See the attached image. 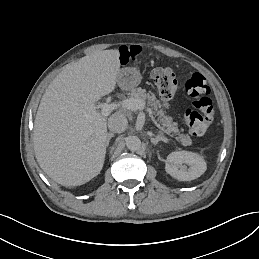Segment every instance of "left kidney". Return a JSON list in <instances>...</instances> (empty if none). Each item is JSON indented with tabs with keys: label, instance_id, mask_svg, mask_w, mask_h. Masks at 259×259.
<instances>
[{
	"label": "left kidney",
	"instance_id": "obj_1",
	"mask_svg": "<svg viewBox=\"0 0 259 259\" xmlns=\"http://www.w3.org/2000/svg\"><path fill=\"white\" fill-rule=\"evenodd\" d=\"M206 169V162L202 156L187 151L170 153L165 164L166 172L180 181L194 180L200 177Z\"/></svg>",
	"mask_w": 259,
	"mask_h": 259
}]
</instances>
